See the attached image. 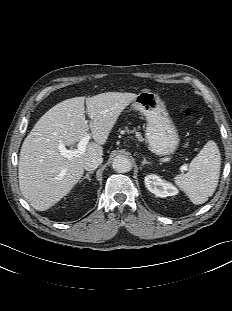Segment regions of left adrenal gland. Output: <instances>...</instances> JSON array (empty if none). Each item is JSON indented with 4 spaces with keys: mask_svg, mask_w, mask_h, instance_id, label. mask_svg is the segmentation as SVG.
Wrapping results in <instances>:
<instances>
[{
    "mask_svg": "<svg viewBox=\"0 0 232 311\" xmlns=\"http://www.w3.org/2000/svg\"><path fill=\"white\" fill-rule=\"evenodd\" d=\"M145 164H151L150 162H148L147 160H146V158L145 157H143V161H142V166L143 165H145Z\"/></svg>",
    "mask_w": 232,
    "mask_h": 311,
    "instance_id": "1",
    "label": "left adrenal gland"
}]
</instances>
